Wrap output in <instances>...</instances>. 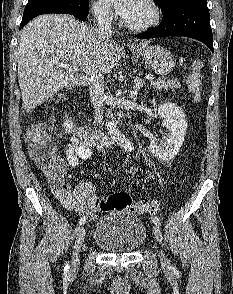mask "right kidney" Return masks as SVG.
Returning <instances> with one entry per match:
<instances>
[{"mask_svg": "<svg viewBox=\"0 0 233 294\" xmlns=\"http://www.w3.org/2000/svg\"><path fill=\"white\" fill-rule=\"evenodd\" d=\"M63 127L65 128L66 133H70L72 131L73 127H74L72 119L68 118V116H66Z\"/></svg>", "mask_w": 233, "mask_h": 294, "instance_id": "ca27d5eb", "label": "right kidney"}]
</instances>
